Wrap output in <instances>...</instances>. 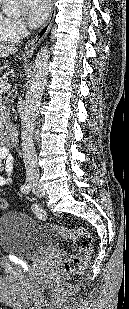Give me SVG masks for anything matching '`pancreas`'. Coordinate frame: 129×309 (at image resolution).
<instances>
[{
  "instance_id": "1",
  "label": "pancreas",
  "mask_w": 129,
  "mask_h": 309,
  "mask_svg": "<svg viewBox=\"0 0 129 309\" xmlns=\"http://www.w3.org/2000/svg\"><path fill=\"white\" fill-rule=\"evenodd\" d=\"M2 83H7V81L3 78L0 77V84ZM4 90L6 91L7 89L6 88H1L0 87V90ZM1 100V99H0ZM10 113H9V109L3 105L2 106V109H0V128H3L4 126H6L10 120Z\"/></svg>"
}]
</instances>
